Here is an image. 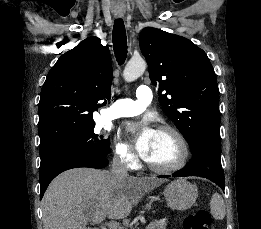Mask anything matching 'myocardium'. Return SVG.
Returning <instances> with one entry per match:
<instances>
[{
  "label": "myocardium",
  "mask_w": 261,
  "mask_h": 229,
  "mask_svg": "<svg viewBox=\"0 0 261 229\" xmlns=\"http://www.w3.org/2000/svg\"><path fill=\"white\" fill-rule=\"evenodd\" d=\"M157 132L170 134L178 147L179 154L175 162L169 165H155L145 158L144 161L148 168L159 173H170L182 169L186 165L189 156L188 145L183 135L170 125H161Z\"/></svg>",
  "instance_id": "obj_1"
}]
</instances>
